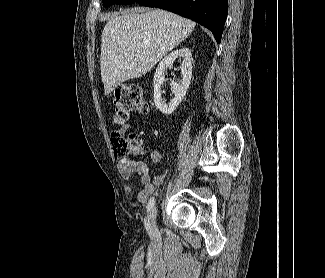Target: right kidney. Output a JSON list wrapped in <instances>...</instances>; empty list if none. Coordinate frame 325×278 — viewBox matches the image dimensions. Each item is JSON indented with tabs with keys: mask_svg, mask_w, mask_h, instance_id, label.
Segmentation results:
<instances>
[{
	"mask_svg": "<svg viewBox=\"0 0 325 278\" xmlns=\"http://www.w3.org/2000/svg\"><path fill=\"white\" fill-rule=\"evenodd\" d=\"M177 58H182L180 70L182 80L179 83L172 81L171 90L174 97L168 104L161 98V86L164 83L165 71L171 67ZM192 54L190 49L183 47L172 51L158 65L154 75V102L157 109L163 114L169 115L174 112L179 103L183 100L185 93L189 87L192 77Z\"/></svg>",
	"mask_w": 325,
	"mask_h": 278,
	"instance_id": "1",
	"label": "right kidney"
}]
</instances>
